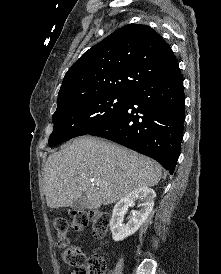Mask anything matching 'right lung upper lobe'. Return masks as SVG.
<instances>
[{
  "instance_id": "1",
  "label": "right lung upper lobe",
  "mask_w": 221,
  "mask_h": 274,
  "mask_svg": "<svg viewBox=\"0 0 221 274\" xmlns=\"http://www.w3.org/2000/svg\"><path fill=\"white\" fill-rule=\"evenodd\" d=\"M177 64L170 46L150 26H123L86 51L66 73L57 102L105 94L132 95Z\"/></svg>"
}]
</instances>
